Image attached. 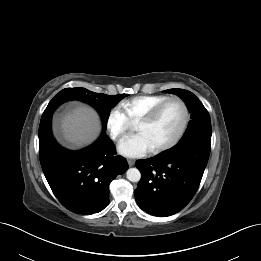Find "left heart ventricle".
Segmentation results:
<instances>
[{"mask_svg": "<svg viewBox=\"0 0 261 261\" xmlns=\"http://www.w3.org/2000/svg\"><path fill=\"white\" fill-rule=\"evenodd\" d=\"M182 117L180 106L172 103L162 111L153 123L136 125L135 130L144 135L151 148H155L175 136L181 126Z\"/></svg>", "mask_w": 261, "mask_h": 261, "instance_id": "obj_1", "label": "left heart ventricle"}]
</instances>
